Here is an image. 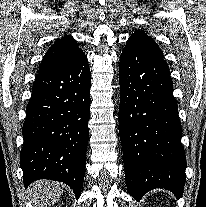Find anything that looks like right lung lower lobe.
I'll return each mask as SVG.
<instances>
[{
	"label": "right lung lower lobe",
	"mask_w": 206,
	"mask_h": 207,
	"mask_svg": "<svg viewBox=\"0 0 206 207\" xmlns=\"http://www.w3.org/2000/svg\"><path fill=\"white\" fill-rule=\"evenodd\" d=\"M91 75L84 55L35 78L23 125L24 186L51 179L81 194L89 139Z\"/></svg>",
	"instance_id": "1"
}]
</instances>
